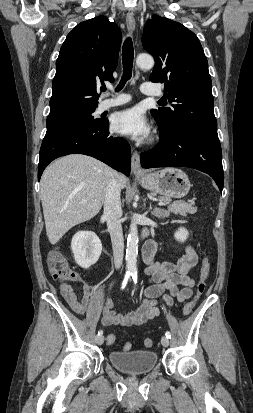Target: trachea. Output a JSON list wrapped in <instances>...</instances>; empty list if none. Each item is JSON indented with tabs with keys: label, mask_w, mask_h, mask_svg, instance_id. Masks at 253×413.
Returning <instances> with one entry per match:
<instances>
[{
	"label": "trachea",
	"mask_w": 253,
	"mask_h": 413,
	"mask_svg": "<svg viewBox=\"0 0 253 413\" xmlns=\"http://www.w3.org/2000/svg\"><path fill=\"white\" fill-rule=\"evenodd\" d=\"M133 58H134L133 42L131 38H127L124 41L123 48H122L123 75H122V78H121V81L118 87L116 88V91L121 90L124 87L125 83L131 78ZM105 90L106 89H104V91Z\"/></svg>",
	"instance_id": "3493384b"
}]
</instances>
